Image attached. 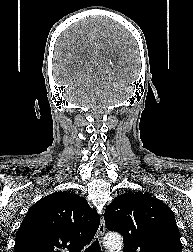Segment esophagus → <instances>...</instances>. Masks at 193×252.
I'll return each mask as SVG.
<instances>
[{"label": "esophagus", "mask_w": 193, "mask_h": 252, "mask_svg": "<svg viewBox=\"0 0 193 252\" xmlns=\"http://www.w3.org/2000/svg\"><path fill=\"white\" fill-rule=\"evenodd\" d=\"M105 230H106V227H105V220H104V217L102 216L101 217V220H100V225H99V228H98V237L100 240H102L104 234H105Z\"/></svg>", "instance_id": "obj_1"}]
</instances>
